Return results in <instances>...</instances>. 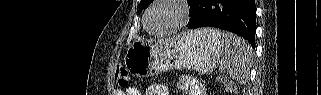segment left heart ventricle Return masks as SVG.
Masks as SVG:
<instances>
[{
    "label": "left heart ventricle",
    "mask_w": 321,
    "mask_h": 95,
    "mask_svg": "<svg viewBox=\"0 0 321 95\" xmlns=\"http://www.w3.org/2000/svg\"><path fill=\"white\" fill-rule=\"evenodd\" d=\"M179 20V8L173 3L164 2L150 12L148 27L154 32H162L175 26Z\"/></svg>",
    "instance_id": "left-heart-ventricle-1"
}]
</instances>
